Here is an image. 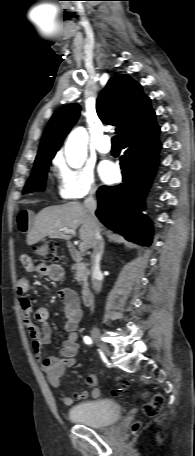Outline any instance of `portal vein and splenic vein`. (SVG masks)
<instances>
[{
    "mask_svg": "<svg viewBox=\"0 0 195 456\" xmlns=\"http://www.w3.org/2000/svg\"><path fill=\"white\" fill-rule=\"evenodd\" d=\"M65 231H66L67 233L72 234V235H76V232H75L74 229L65 228ZM79 250H80L81 252L86 251V250H87V245H86L85 243H83V242L80 243V244H79Z\"/></svg>",
    "mask_w": 195,
    "mask_h": 456,
    "instance_id": "1",
    "label": "portal vein and splenic vein"
}]
</instances>
